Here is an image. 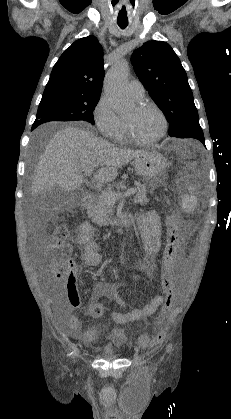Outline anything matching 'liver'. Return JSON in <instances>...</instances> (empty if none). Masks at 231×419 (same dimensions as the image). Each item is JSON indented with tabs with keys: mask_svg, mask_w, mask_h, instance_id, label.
<instances>
[{
	"mask_svg": "<svg viewBox=\"0 0 231 419\" xmlns=\"http://www.w3.org/2000/svg\"><path fill=\"white\" fill-rule=\"evenodd\" d=\"M145 150L120 149L97 137L91 130L66 127L57 131L37 163L32 196L58 187L69 192L81 187L82 172L96 170L99 183L115 180L118 169L145 153Z\"/></svg>",
	"mask_w": 231,
	"mask_h": 419,
	"instance_id": "obj_1",
	"label": "liver"
}]
</instances>
